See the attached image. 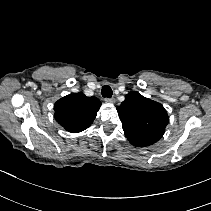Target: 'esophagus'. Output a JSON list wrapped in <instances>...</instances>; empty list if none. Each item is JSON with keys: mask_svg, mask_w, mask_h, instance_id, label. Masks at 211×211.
Segmentation results:
<instances>
[{"mask_svg": "<svg viewBox=\"0 0 211 211\" xmlns=\"http://www.w3.org/2000/svg\"><path fill=\"white\" fill-rule=\"evenodd\" d=\"M105 102L113 104V103H115V99L114 98H105Z\"/></svg>", "mask_w": 211, "mask_h": 211, "instance_id": "esophagus-1", "label": "esophagus"}]
</instances>
